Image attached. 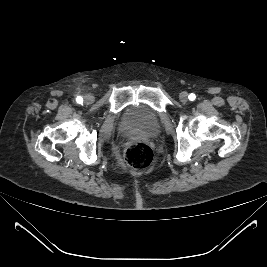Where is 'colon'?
<instances>
[{"label":"colon","mask_w":267,"mask_h":267,"mask_svg":"<svg viewBox=\"0 0 267 267\" xmlns=\"http://www.w3.org/2000/svg\"><path fill=\"white\" fill-rule=\"evenodd\" d=\"M153 162L152 149L143 142H132L124 150L122 167L144 169Z\"/></svg>","instance_id":"1"}]
</instances>
